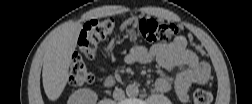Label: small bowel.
<instances>
[{
    "instance_id": "obj_1",
    "label": "small bowel",
    "mask_w": 252,
    "mask_h": 104,
    "mask_svg": "<svg viewBox=\"0 0 252 104\" xmlns=\"http://www.w3.org/2000/svg\"><path fill=\"white\" fill-rule=\"evenodd\" d=\"M126 64H147L152 61L169 71L178 69L174 76V89L177 98L186 102L189 98L188 90L193 84H205L210 77L209 65L199 61L197 55L187 48V40L183 36L175 38L170 43H157L146 48L133 47L125 56ZM156 89L166 93L172 88V79L164 76L155 82Z\"/></svg>"
}]
</instances>
